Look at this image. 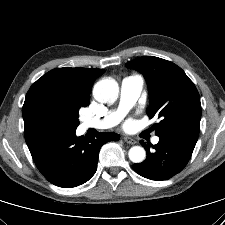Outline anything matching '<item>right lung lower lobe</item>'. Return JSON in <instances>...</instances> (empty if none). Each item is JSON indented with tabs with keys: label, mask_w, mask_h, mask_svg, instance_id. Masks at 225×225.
<instances>
[{
	"label": "right lung lower lobe",
	"mask_w": 225,
	"mask_h": 225,
	"mask_svg": "<svg viewBox=\"0 0 225 225\" xmlns=\"http://www.w3.org/2000/svg\"><path fill=\"white\" fill-rule=\"evenodd\" d=\"M112 132L99 133L90 139L75 131L37 128L25 135L34 163L42 175L59 187H75L87 182L96 172L99 150L111 140Z\"/></svg>",
	"instance_id": "right-lung-lower-lobe-1"
}]
</instances>
